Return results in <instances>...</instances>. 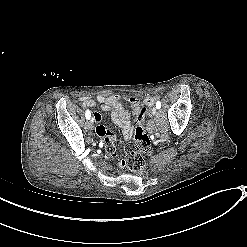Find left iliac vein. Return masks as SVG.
<instances>
[{"instance_id": "left-iliac-vein-1", "label": "left iliac vein", "mask_w": 247, "mask_h": 247, "mask_svg": "<svg viewBox=\"0 0 247 247\" xmlns=\"http://www.w3.org/2000/svg\"><path fill=\"white\" fill-rule=\"evenodd\" d=\"M156 113H157L156 109H155V108H153V110H152V114H153V115H156Z\"/></svg>"}]
</instances>
